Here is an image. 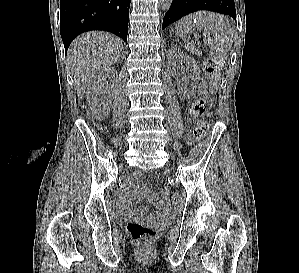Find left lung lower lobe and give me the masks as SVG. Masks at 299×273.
Listing matches in <instances>:
<instances>
[{
	"instance_id": "left-lung-lower-lobe-1",
	"label": "left lung lower lobe",
	"mask_w": 299,
	"mask_h": 273,
	"mask_svg": "<svg viewBox=\"0 0 299 273\" xmlns=\"http://www.w3.org/2000/svg\"><path fill=\"white\" fill-rule=\"evenodd\" d=\"M198 10L214 11L236 19L234 0H173L165 14L162 29L183 16Z\"/></svg>"
}]
</instances>
